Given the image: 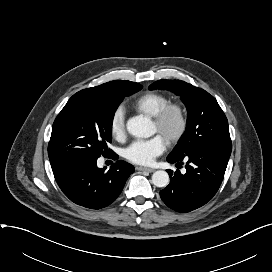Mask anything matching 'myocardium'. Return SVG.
Returning a JSON list of instances; mask_svg holds the SVG:
<instances>
[{
  "label": "myocardium",
  "mask_w": 272,
  "mask_h": 272,
  "mask_svg": "<svg viewBox=\"0 0 272 272\" xmlns=\"http://www.w3.org/2000/svg\"><path fill=\"white\" fill-rule=\"evenodd\" d=\"M174 115L177 119V128L165 137L167 144H177L185 135L188 128V117L185 107L179 102H169L154 116L153 122L160 132L163 131L168 119Z\"/></svg>",
  "instance_id": "obj_1"
}]
</instances>
